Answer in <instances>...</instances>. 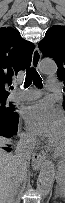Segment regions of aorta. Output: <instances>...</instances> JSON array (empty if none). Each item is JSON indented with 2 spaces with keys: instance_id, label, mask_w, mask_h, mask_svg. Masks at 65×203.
<instances>
[{
  "instance_id": "762f6f07",
  "label": "aorta",
  "mask_w": 65,
  "mask_h": 203,
  "mask_svg": "<svg viewBox=\"0 0 65 203\" xmlns=\"http://www.w3.org/2000/svg\"><path fill=\"white\" fill-rule=\"evenodd\" d=\"M40 72L45 75H54L57 65L52 59H43L39 65ZM55 180V166L50 160H46L40 167L37 179V190L42 198H46L51 191Z\"/></svg>"
}]
</instances>
